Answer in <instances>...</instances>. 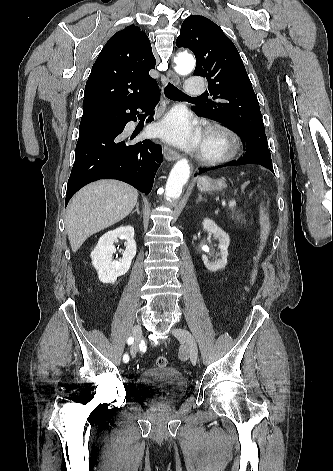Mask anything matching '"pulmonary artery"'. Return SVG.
<instances>
[{"label":"pulmonary artery","instance_id":"e3ab8cb5","mask_svg":"<svg viewBox=\"0 0 333 471\" xmlns=\"http://www.w3.org/2000/svg\"><path fill=\"white\" fill-rule=\"evenodd\" d=\"M205 91L204 81L197 76L188 79L186 92L188 95H200Z\"/></svg>","mask_w":333,"mask_h":471}]
</instances>
